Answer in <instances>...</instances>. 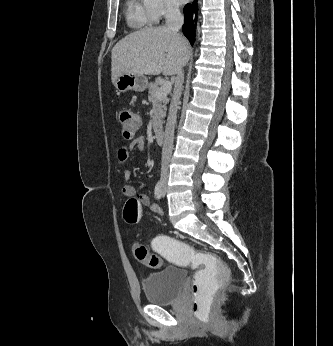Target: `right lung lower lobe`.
<instances>
[{
  "label": "right lung lower lobe",
  "instance_id": "obj_1",
  "mask_svg": "<svg viewBox=\"0 0 333 346\" xmlns=\"http://www.w3.org/2000/svg\"><path fill=\"white\" fill-rule=\"evenodd\" d=\"M198 6L197 2L186 4L184 7L185 24L182 27L183 34L188 38L191 45L194 44L195 22L197 18Z\"/></svg>",
  "mask_w": 333,
  "mask_h": 346
}]
</instances>
